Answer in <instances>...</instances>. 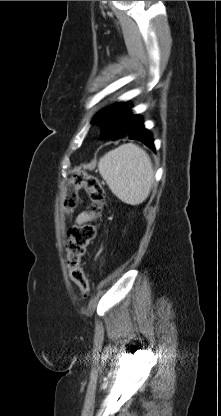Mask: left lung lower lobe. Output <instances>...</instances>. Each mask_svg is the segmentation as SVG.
<instances>
[{"label":"left lung lower lobe","instance_id":"left-lung-lower-lobe-1","mask_svg":"<svg viewBox=\"0 0 221 416\" xmlns=\"http://www.w3.org/2000/svg\"><path fill=\"white\" fill-rule=\"evenodd\" d=\"M126 136L131 140L143 142L146 146L155 151L152 134L144 128L143 120L140 116L134 115L129 133Z\"/></svg>","mask_w":221,"mask_h":416}]
</instances>
